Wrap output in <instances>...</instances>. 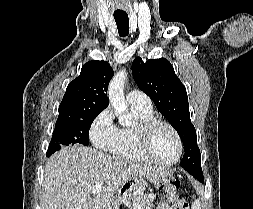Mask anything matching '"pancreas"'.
<instances>
[{
    "instance_id": "cf45deb5",
    "label": "pancreas",
    "mask_w": 253,
    "mask_h": 209,
    "mask_svg": "<svg viewBox=\"0 0 253 209\" xmlns=\"http://www.w3.org/2000/svg\"><path fill=\"white\" fill-rule=\"evenodd\" d=\"M154 196H137L135 198L132 199V209H138V207L140 206L141 209H152L154 204Z\"/></svg>"
}]
</instances>
